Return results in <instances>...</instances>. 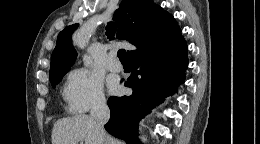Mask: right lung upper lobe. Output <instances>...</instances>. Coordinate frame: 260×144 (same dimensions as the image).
Segmentation results:
<instances>
[{
	"mask_svg": "<svg viewBox=\"0 0 260 144\" xmlns=\"http://www.w3.org/2000/svg\"><path fill=\"white\" fill-rule=\"evenodd\" d=\"M113 18L118 25L117 38L126 39L137 47V50L127 51L128 57L172 41L181 34L173 15L153 0H122ZM78 26L70 25L59 33L51 56L50 75L73 65L77 53L71 35Z\"/></svg>",
	"mask_w": 260,
	"mask_h": 144,
	"instance_id": "obj_1",
	"label": "right lung upper lobe"
}]
</instances>
